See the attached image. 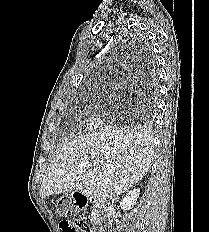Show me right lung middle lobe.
<instances>
[{
    "mask_svg": "<svg viewBox=\"0 0 209 232\" xmlns=\"http://www.w3.org/2000/svg\"><path fill=\"white\" fill-rule=\"evenodd\" d=\"M154 78H155L154 74L149 75V82L152 83V86L150 87L151 89H149V93H148L149 95H147V100L146 103L144 104L145 105L144 122L148 127H152L154 123V110H155L156 99H157V89L153 85Z\"/></svg>",
    "mask_w": 209,
    "mask_h": 232,
    "instance_id": "obj_1",
    "label": "right lung middle lobe"
}]
</instances>
